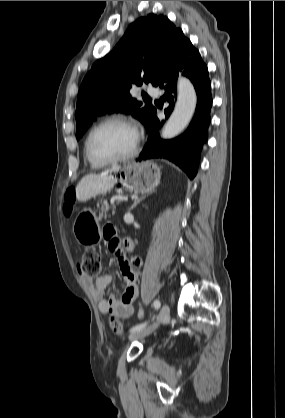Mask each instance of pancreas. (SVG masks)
Here are the masks:
<instances>
[{
  "label": "pancreas",
  "instance_id": "obj_1",
  "mask_svg": "<svg viewBox=\"0 0 285 418\" xmlns=\"http://www.w3.org/2000/svg\"><path fill=\"white\" fill-rule=\"evenodd\" d=\"M108 209H109V206L107 204L103 203L102 206H101V212L99 214V217L106 218Z\"/></svg>",
  "mask_w": 285,
  "mask_h": 418
}]
</instances>
